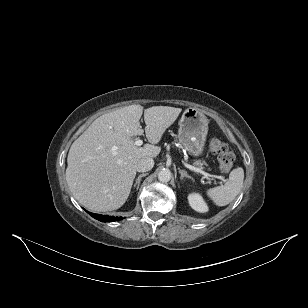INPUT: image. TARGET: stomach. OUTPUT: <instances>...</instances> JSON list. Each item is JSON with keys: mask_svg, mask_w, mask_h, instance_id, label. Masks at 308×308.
I'll return each instance as SVG.
<instances>
[{"mask_svg": "<svg viewBox=\"0 0 308 308\" xmlns=\"http://www.w3.org/2000/svg\"><path fill=\"white\" fill-rule=\"evenodd\" d=\"M208 133V118L195 108L186 109L179 120L178 140L194 156L203 153Z\"/></svg>", "mask_w": 308, "mask_h": 308, "instance_id": "1", "label": "stomach"}]
</instances>
